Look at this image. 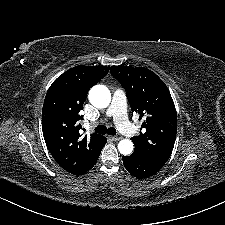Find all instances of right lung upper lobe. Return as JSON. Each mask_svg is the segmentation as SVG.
Masks as SVG:
<instances>
[{"label":"right lung upper lobe","instance_id":"obj_1","mask_svg":"<svg viewBox=\"0 0 225 225\" xmlns=\"http://www.w3.org/2000/svg\"><path fill=\"white\" fill-rule=\"evenodd\" d=\"M110 67H73L60 75L50 86L42 110V130L52 157L64 170L83 175L97 162L107 140L91 134L82 137L79 120L89 89L104 78Z\"/></svg>","mask_w":225,"mask_h":225}]
</instances>
